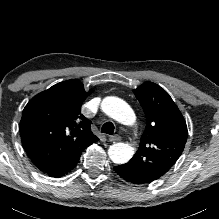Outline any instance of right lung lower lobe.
<instances>
[{"label": "right lung lower lobe", "instance_id": "1", "mask_svg": "<svg viewBox=\"0 0 219 219\" xmlns=\"http://www.w3.org/2000/svg\"><path fill=\"white\" fill-rule=\"evenodd\" d=\"M78 160L73 161L70 164L63 166V167H60V168L46 170V171H44V173L48 174L51 177H55V178L62 177L64 175L68 174L69 172H71L75 168Z\"/></svg>", "mask_w": 219, "mask_h": 219}]
</instances>
